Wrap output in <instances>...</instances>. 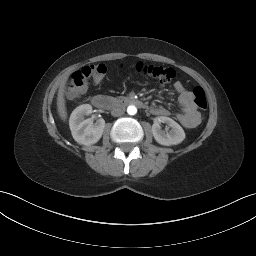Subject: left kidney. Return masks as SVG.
<instances>
[{
  "instance_id": "obj_1",
  "label": "left kidney",
  "mask_w": 256,
  "mask_h": 256,
  "mask_svg": "<svg viewBox=\"0 0 256 256\" xmlns=\"http://www.w3.org/2000/svg\"><path fill=\"white\" fill-rule=\"evenodd\" d=\"M166 123L171 130L169 132L161 129L160 124ZM154 139L161 145L171 146L181 143L185 139L183 128L173 119L165 116L156 117L152 125Z\"/></svg>"
}]
</instances>
